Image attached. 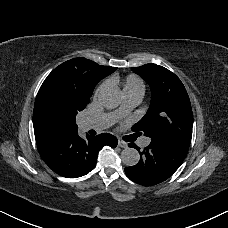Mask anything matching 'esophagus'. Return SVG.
Here are the masks:
<instances>
[{
	"label": "esophagus",
	"mask_w": 228,
	"mask_h": 228,
	"mask_svg": "<svg viewBox=\"0 0 228 228\" xmlns=\"http://www.w3.org/2000/svg\"><path fill=\"white\" fill-rule=\"evenodd\" d=\"M118 146L121 148H127L128 144H127V142L123 141L122 139H119L118 140Z\"/></svg>",
	"instance_id": "obj_1"
}]
</instances>
